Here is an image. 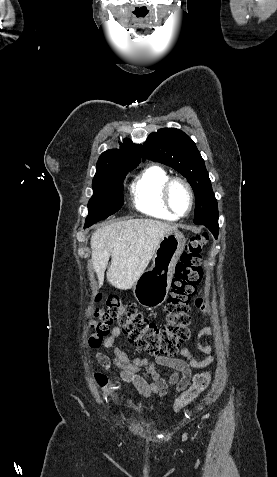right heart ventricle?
<instances>
[{
    "mask_svg": "<svg viewBox=\"0 0 277 477\" xmlns=\"http://www.w3.org/2000/svg\"><path fill=\"white\" fill-rule=\"evenodd\" d=\"M170 178L166 170L158 165L143 169L131 184V194L135 208L151 217L158 219L177 220L165 206L162 198V188Z\"/></svg>",
    "mask_w": 277,
    "mask_h": 477,
    "instance_id": "e07e8e85",
    "label": "right heart ventricle"
}]
</instances>
